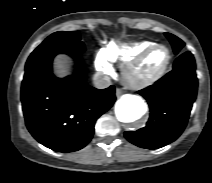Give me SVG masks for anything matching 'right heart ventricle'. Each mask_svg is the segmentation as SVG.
<instances>
[{
    "instance_id": "obj_1",
    "label": "right heart ventricle",
    "mask_w": 212,
    "mask_h": 183,
    "mask_svg": "<svg viewBox=\"0 0 212 183\" xmlns=\"http://www.w3.org/2000/svg\"><path fill=\"white\" fill-rule=\"evenodd\" d=\"M156 44L154 41H140L130 44H120L111 42L104 50L103 53L108 61L126 64L136 56H138L146 48Z\"/></svg>"
}]
</instances>
